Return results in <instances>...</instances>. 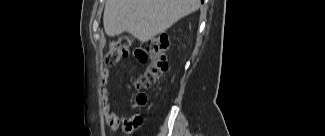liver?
<instances>
[{
	"instance_id": "liver-1",
	"label": "liver",
	"mask_w": 325,
	"mask_h": 136,
	"mask_svg": "<svg viewBox=\"0 0 325 136\" xmlns=\"http://www.w3.org/2000/svg\"><path fill=\"white\" fill-rule=\"evenodd\" d=\"M200 0H106L105 33L128 32L146 42L200 7Z\"/></svg>"
}]
</instances>
